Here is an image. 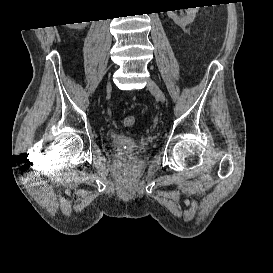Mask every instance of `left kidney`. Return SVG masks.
<instances>
[{
    "instance_id": "left-kidney-1",
    "label": "left kidney",
    "mask_w": 273,
    "mask_h": 273,
    "mask_svg": "<svg viewBox=\"0 0 273 273\" xmlns=\"http://www.w3.org/2000/svg\"><path fill=\"white\" fill-rule=\"evenodd\" d=\"M199 7L185 9V15H177L176 11H167V15L181 28H185L187 25L191 24L198 12Z\"/></svg>"
}]
</instances>
